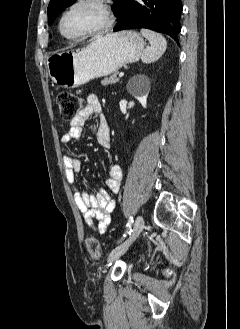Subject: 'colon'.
Listing matches in <instances>:
<instances>
[{"label":"colon","mask_w":240,"mask_h":329,"mask_svg":"<svg viewBox=\"0 0 240 329\" xmlns=\"http://www.w3.org/2000/svg\"><path fill=\"white\" fill-rule=\"evenodd\" d=\"M57 105L61 118L66 121L73 120L85 107L84 99L75 93L63 91L57 96ZM86 248L89 254L95 259H100L102 254L99 242L96 238L90 237L86 240Z\"/></svg>","instance_id":"colon-1"}]
</instances>
